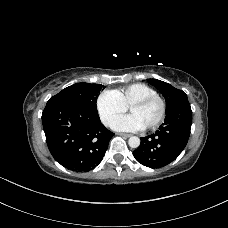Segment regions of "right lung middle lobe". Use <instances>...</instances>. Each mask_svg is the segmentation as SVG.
I'll return each mask as SVG.
<instances>
[{
	"label": "right lung middle lobe",
	"mask_w": 228,
	"mask_h": 228,
	"mask_svg": "<svg viewBox=\"0 0 228 228\" xmlns=\"http://www.w3.org/2000/svg\"><path fill=\"white\" fill-rule=\"evenodd\" d=\"M101 89L100 84L77 83L63 89L49 101H67L98 113L96 102Z\"/></svg>",
	"instance_id": "1"
}]
</instances>
